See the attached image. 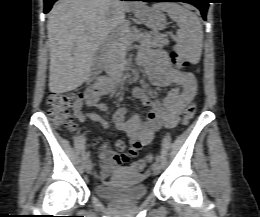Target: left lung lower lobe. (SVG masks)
I'll list each match as a JSON object with an SVG mask.
<instances>
[{"instance_id":"0a47b994","label":"left lung lower lobe","mask_w":260,"mask_h":217,"mask_svg":"<svg viewBox=\"0 0 260 217\" xmlns=\"http://www.w3.org/2000/svg\"><path fill=\"white\" fill-rule=\"evenodd\" d=\"M134 1H145V2H185L190 3L200 9L201 14L206 20V12L208 9L209 0H134Z\"/></svg>"}]
</instances>
